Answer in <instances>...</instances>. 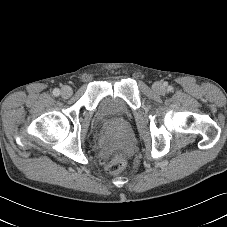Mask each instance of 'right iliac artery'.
Segmentation results:
<instances>
[{
    "label": "right iliac artery",
    "instance_id": "1",
    "mask_svg": "<svg viewBox=\"0 0 227 227\" xmlns=\"http://www.w3.org/2000/svg\"><path fill=\"white\" fill-rule=\"evenodd\" d=\"M53 95L54 96H59L60 95V90L58 88L53 90Z\"/></svg>",
    "mask_w": 227,
    "mask_h": 227
}]
</instances>
